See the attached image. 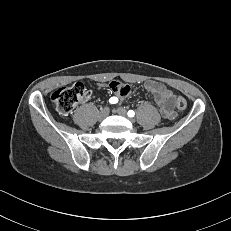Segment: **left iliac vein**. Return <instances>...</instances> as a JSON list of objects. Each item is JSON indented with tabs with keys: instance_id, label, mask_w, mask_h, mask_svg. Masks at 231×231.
<instances>
[{
	"instance_id": "obj_1",
	"label": "left iliac vein",
	"mask_w": 231,
	"mask_h": 231,
	"mask_svg": "<svg viewBox=\"0 0 231 231\" xmlns=\"http://www.w3.org/2000/svg\"><path fill=\"white\" fill-rule=\"evenodd\" d=\"M116 112L123 117L127 116V111L125 108L119 107L116 109ZM131 121H133V119H131Z\"/></svg>"
}]
</instances>
